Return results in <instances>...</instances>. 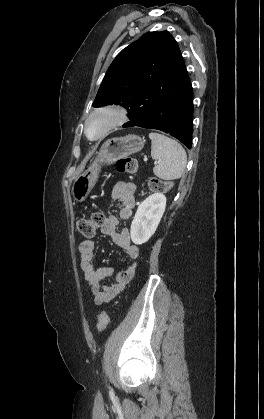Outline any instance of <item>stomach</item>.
I'll list each match as a JSON object with an SVG mask.
<instances>
[{
  "label": "stomach",
  "instance_id": "stomach-1",
  "mask_svg": "<svg viewBox=\"0 0 264 419\" xmlns=\"http://www.w3.org/2000/svg\"><path fill=\"white\" fill-rule=\"evenodd\" d=\"M145 140L137 135L108 139L100 148L93 163L73 182L72 196L76 202H83L94 188L101 168L116 160L134 154L144 147Z\"/></svg>",
  "mask_w": 264,
  "mask_h": 419
}]
</instances>
